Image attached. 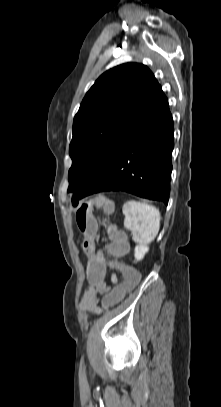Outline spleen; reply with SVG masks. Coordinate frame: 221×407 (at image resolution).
<instances>
[{
    "label": "spleen",
    "mask_w": 221,
    "mask_h": 407,
    "mask_svg": "<svg viewBox=\"0 0 221 407\" xmlns=\"http://www.w3.org/2000/svg\"><path fill=\"white\" fill-rule=\"evenodd\" d=\"M124 227L132 232V239L139 244H148L155 239L160 229L159 210L145 202L130 200L123 205Z\"/></svg>",
    "instance_id": "3e777b00"
}]
</instances>
